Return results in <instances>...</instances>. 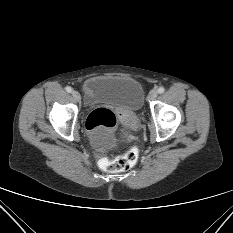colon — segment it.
Wrapping results in <instances>:
<instances>
[{
	"instance_id": "colon-1",
	"label": "colon",
	"mask_w": 233,
	"mask_h": 233,
	"mask_svg": "<svg viewBox=\"0 0 233 233\" xmlns=\"http://www.w3.org/2000/svg\"><path fill=\"white\" fill-rule=\"evenodd\" d=\"M117 123L116 115L113 111L107 108H98L93 110L86 121L88 130L96 129H114ZM138 152L136 149H131L122 156L113 160L106 158L100 160V166L108 172H121L131 168L137 161Z\"/></svg>"
}]
</instances>
